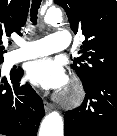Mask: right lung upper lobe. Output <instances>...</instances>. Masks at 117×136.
Here are the masks:
<instances>
[{
    "label": "right lung upper lobe",
    "instance_id": "cb5924a9",
    "mask_svg": "<svg viewBox=\"0 0 117 136\" xmlns=\"http://www.w3.org/2000/svg\"><path fill=\"white\" fill-rule=\"evenodd\" d=\"M29 4L30 0H0V59L6 52L2 37L12 32L20 34V28L27 19Z\"/></svg>",
    "mask_w": 117,
    "mask_h": 136
}]
</instances>
